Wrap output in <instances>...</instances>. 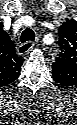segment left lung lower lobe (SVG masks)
I'll return each mask as SVG.
<instances>
[{"label":"left lung lower lobe","instance_id":"1","mask_svg":"<svg viewBox=\"0 0 77 125\" xmlns=\"http://www.w3.org/2000/svg\"><path fill=\"white\" fill-rule=\"evenodd\" d=\"M52 75L56 82L63 85L70 81V77L73 75V68L71 66L54 63L52 65Z\"/></svg>","mask_w":77,"mask_h":125}]
</instances>
